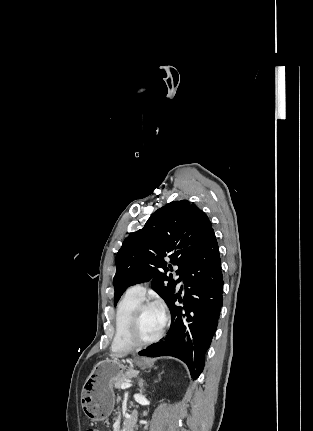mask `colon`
Wrapping results in <instances>:
<instances>
[{
	"label": "colon",
	"mask_w": 313,
	"mask_h": 431,
	"mask_svg": "<svg viewBox=\"0 0 313 431\" xmlns=\"http://www.w3.org/2000/svg\"><path fill=\"white\" fill-rule=\"evenodd\" d=\"M87 431H99V430L95 428H91V429H88Z\"/></svg>",
	"instance_id": "5ec220e1"
}]
</instances>
